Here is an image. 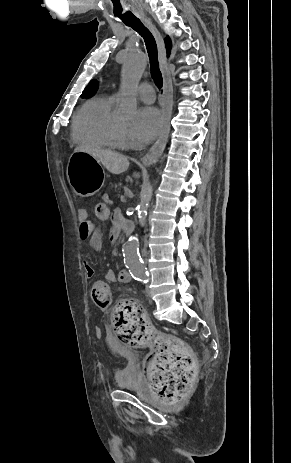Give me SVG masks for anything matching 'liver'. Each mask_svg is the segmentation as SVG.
Wrapping results in <instances>:
<instances>
[{"mask_svg":"<svg viewBox=\"0 0 291 463\" xmlns=\"http://www.w3.org/2000/svg\"><path fill=\"white\" fill-rule=\"evenodd\" d=\"M74 152H86L90 154L113 174L123 173L129 167L127 157L113 151L79 146L74 149ZM134 176L140 177L139 173H134Z\"/></svg>","mask_w":291,"mask_h":463,"instance_id":"liver-1","label":"liver"}]
</instances>
